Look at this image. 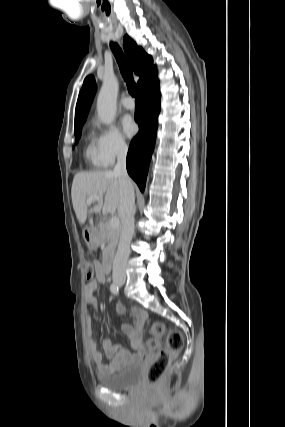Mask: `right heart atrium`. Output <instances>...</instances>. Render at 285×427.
<instances>
[{
	"mask_svg": "<svg viewBox=\"0 0 285 427\" xmlns=\"http://www.w3.org/2000/svg\"><path fill=\"white\" fill-rule=\"evenodd\" d=\"M97 134L94 139L98 153L106 166L112 165L119 157L126 155L129 146L115 125H95Z\"/></svg>",
	"mask_w": 285,
	"mask_h": 427,
	"instance_id": "1",
	"label": "right heart atrium"
}]
</instances>
